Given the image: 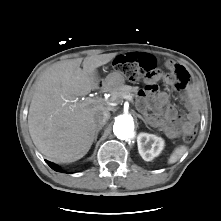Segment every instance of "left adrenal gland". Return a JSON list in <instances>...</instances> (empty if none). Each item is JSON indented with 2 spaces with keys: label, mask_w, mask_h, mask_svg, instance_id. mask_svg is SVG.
<instances>
[{
  "label": "left adrenal gland",
  "mask_w": 221,
  "mask_h": 221,
  "mask_svg": "<svg viewBox=\"0 0 221 221\" xmlns=\"http://www.w3.org/2000/svg\"><path fill=\"white\" fill-rule=\"evenodd\" d=\"M141 120H143L144 121V123H146L147 124V122L145 121V119L141 116V115H137Z\"/></svg>",
  "instance_id": "left-adrenal-gland-1"
}]
</instances>
